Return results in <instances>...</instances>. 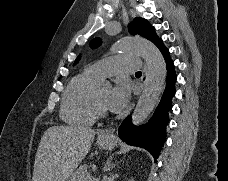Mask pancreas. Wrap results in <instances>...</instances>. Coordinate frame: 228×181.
Segmentation results:
<instances>
[{"label":"pancreas","instance_id":"cf45deb5","mask_svg":"<svg viewBox=\"0 0 228 181\" xmlns=\"http://www.w3.org/2000/svg\"><path fill=\"white\" fill-rule=\"evenodd\" d=\"M70 181H95V179H93L92 175L88 173L87 167H85V165H81L75 173H72Z\"/></svg>","mask_w":228,"mask_h":181}]
</instances>
